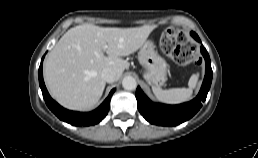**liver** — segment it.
Listing matches in <instances>:
<instances>
[{
    "label": "liver",
    "mask_w": 258,
    "mask_h": 158,
    "mask_svg": "<svg viewBox=\"0 0 258 158\" xmlns=\"http://www.w3.org/2000/svg\"><path fill=\"white\" fill-rule=\"evenodd\" d=\"M154 28H105L83 24L69 29L45 61L44 79L51 96L71 110L91 108L105 89L102 70L113 69L118 80L128 68L127 61L121 57L142 47Z\"/></svg>",
    "instance_id": "liver-1"
}]
</instances>
